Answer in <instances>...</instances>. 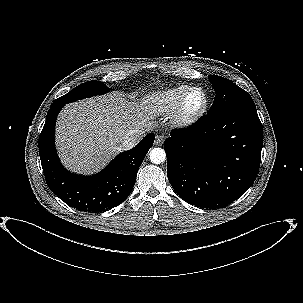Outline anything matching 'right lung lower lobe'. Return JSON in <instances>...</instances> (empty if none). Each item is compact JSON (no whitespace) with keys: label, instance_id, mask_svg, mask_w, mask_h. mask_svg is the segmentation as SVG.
Here are the masks:
<instances>
[{"label":"right lung lower lobe","instance_id":"obj_1","mask_svg":"<svg viewBox=\"0 0 303 303\" xmlns=\"http://www.w3.org/2000/svg\"><path fill=\"white\" fill-rule=\"evenodd\" d=\"M64 105L52 103L39 136V155L48 187L64 202L83 212H102L121 204L134 187L137 171L153 146L154 134L149 133L134 148L120 153L100 173L76 175L62 166L55 148V122Z\"/></svg>","mask_w":303,"mask_h":303}]
</instances>
